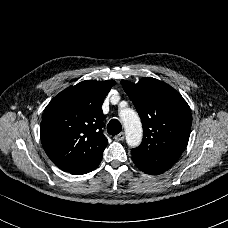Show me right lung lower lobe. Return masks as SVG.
Masks as SVG:
<instances>
[{"label": "right lung lower lobe", "instance_id": "obj_1", "mask_svg": "<svg viewBox=\"0 0 228 228\" xmlns=\"http://www.w3.org/2000/svg\"><path fill=\"white\" fill-rule=\"evenodd\" d=\"M102 160V156L99 157L98 159H96L95 161H93L91 164H89L88 166L80 169V170H77L75 172H71V174H74V175H80V174H86L88 172H91L92 170H94L101 162Z\"/></svg>", "mask_w": 228, "mask_h": 228}]
</instances>
